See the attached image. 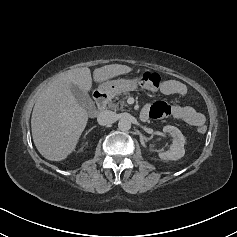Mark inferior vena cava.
I'll use <instances>...</instances> for the list:
<instances>
[{
	"label": "inferior vena cava",
	"mask_w": 237,
	"mask_h": 237,
	"mask_svg": "<svg viewBox=\"0 0 237 237\" xmlns=\"http://www.w3.org/2000/svg\"><path fill=\"white\" fill-rule=\"evenodd\" d=\"M97 121L102 126L112 124L116 121V114L109 110L102 111L99 113Z\"/></svg>",
	"instance_id": "1"
}]
</instances>
